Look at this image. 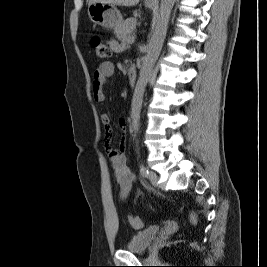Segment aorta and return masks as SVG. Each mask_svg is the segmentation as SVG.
I'll list each match as a JSON object with an SVG mask.
<instances>
[{
	"mask_svg": "<svg viewBox=\"0 0 267 267\" xmlns=\"http://www.w3.org/2000/svg\"><path fill=\"white\" fill-rule=\"evenodd\" d=\"M174 3L175 0H161L159 13L154 22V29L149 40L147 54L142 61L139 78L131 102V126L135 133L138 132L140 126V112L145 88L160 55Z\"/></svg>",
	"mask_w": 267,
	"mask_h": 267,
	"instance_id": "aorta-1",
	"label": "aorta"
}]
</instances>
